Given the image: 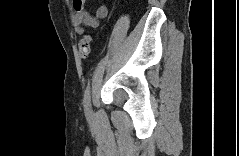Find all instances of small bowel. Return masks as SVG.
<instances>
[{"label":"small bowel","mask_w":239,"mask_h":156,"mask_svg":"<svg viewBox=\"0 0 239 156\" xmlns=\"http://www.w3.org/2000/svg\"><path fill=\"white\" fill-rule=\"evenodd\" d=\"M74 24L76 32L83 34L84 27L97 28L100 20L105 19L109 14L106 6H100L94 15H91L86 9V0H74Z\"/></svg>","instance_id":"1"}]
</instances>
